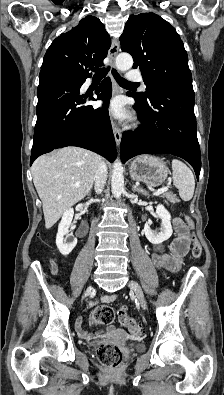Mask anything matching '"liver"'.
I'll return each mask as SVG.
<instances>
[{
  "instance_id": "6515ba94",
  "label": "liver",
  "mask_w": 224,
  "mask_h": 395,
  "mask_svg": "<svg viewBox=\"0 0 224 395\" xmlns=\"http://www.w3.org/2000/svg\"><path fill=\"white\" fill-rule=\"evenodd\" d=\"M100 160L92 151L64 147L34 161L31 172L42 201L46 229L90 192Z\"/></svg>"
}]
</instances>
